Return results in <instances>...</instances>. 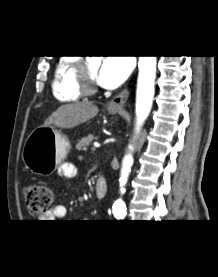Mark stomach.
Segmentation results:
<instances>
[{
    "mask_svg": "<svg viewBox=\"0 0 218 277\" xmlns=\"http://www.w3.org/2000/svg\"><path fill=\"white\" fill-rule=\"evenodd\" d=\"M117 112L116 109H109L110 114ZM69 150L68 138L55 125L39 127L27 137L22 160L33 174L46 176L66 158Z\"/></svg>",
    "mask_w": 218,
    "mask_h": 277,
    "instance_id": "stomach-1",
    "label": "stomach"
}]
</instances>
